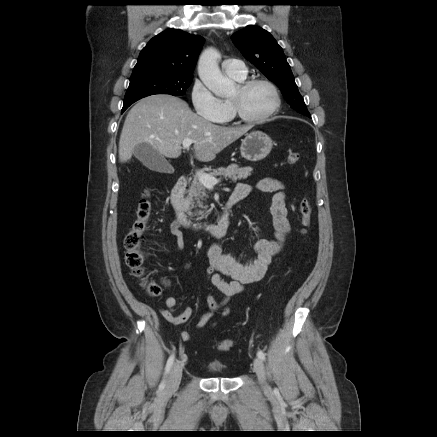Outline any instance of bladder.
<instances>
[{
	"label": "bladder",
	"instance_id": "obj_1",
	"mask_svg": "<svg viewBox=\"0 0 437 437\" xmlns=\"http://www.w3.org/2000/svg\"><path fill=\"white\" fill-rule=\"evenodd\" d=\"M208 369L214 374H220L224 372L225 366L221 362H211Z\"/></svg>",
	"mask_w": 437,
	"mask_h": 437
}]
</instances>
